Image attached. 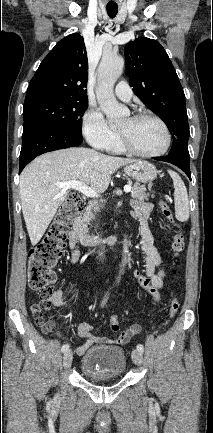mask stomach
Returning a JSON list of instances; mask_svg holds the SVG:
<instances>
[{
  "label": "stomach",
  "instance_id": "stomach-1",
  "mask_svg": "<svg viewBox=\"0 0 213 433\" xmlns=\"http://www.w3.org/2000/svg\"><path fill=\"white\" fill-rule=\"evenodd\" d=\"M124 172L138 182L148 183L153 181L157 176V170L154 165L147 161L137 160L124 167Z\"/></svg>",
  "mask_w": 213,
  "mask_h": 433
}]
</instances>
